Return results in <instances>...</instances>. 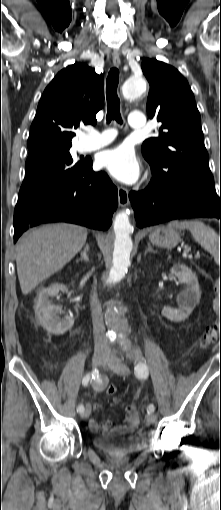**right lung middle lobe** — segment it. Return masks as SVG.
I'll return each instance as SVG.
<instances>
[{"label": "right lung middle lobe", "mask_w": 221, "mask_h": 510, "mask_svg": "<svg viewBox=\"0 0 221 510\" xmlns=\"http://www.w3.org/2000/svg\"><path fill=\"white\" fill-rule=\"evenodd\" d=\"M70 147H43L29 152L26 176L22 183L15 211L37 194L75 180L84 170L88 160L70 154Z\"/></svg>", "instance_id": "1"}]
</instances>
